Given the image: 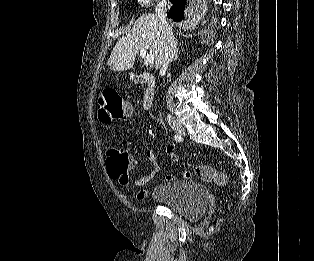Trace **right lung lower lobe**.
Instances as JSON below:
<instances>
[{
    "instance_id": "obj_1",
    "label": "right lung lower lobe",
    "mask_w": 314,
    "mask_h": 261,
    "mask_svg": "<svg viewBox=\"0 0 314 261\" xmlns=\"http://www.w3.org/2000/svg\"><path fill=\"white\" fill-rule=\"evenodd\" d=\"M173 6L171 7L170 11L167 12V16L173 21H181L184 18V9L186 6V0H171Z\"/></svg>"
}]
</instances>
